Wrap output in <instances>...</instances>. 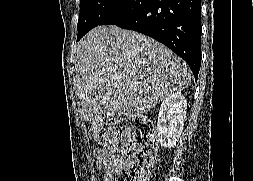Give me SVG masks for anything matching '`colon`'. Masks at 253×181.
<instances>
[{
	"label": "colon",
	"mask_w": 253,
	"mask_h": 181,
	"mask_svg": "<svg viewBox=\"0 0 253 181\" xmlns=\"http://www.w3.org/2000/svg\"><path fill=\"white\" fill-rule=\"evenodd\" d=\"M96 138L106 148L113 149L124 141L123 159L106 181H148L154 164L157 144L155 128L146 117H111L95 125Z\"/></svg>",
	"instance_id": "obj_1"
}]
</instances>
